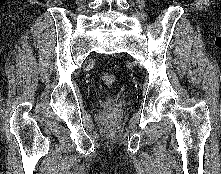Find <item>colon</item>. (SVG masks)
<instances>
[{
  "instance_id": "1",
  "label": "colon",
  "mask_w": 221,
  "mask_h": 174,
  "mask_svg": "<svg viewBox=\"0 0 221 174\" xmlns=\"http://www.w3.org/2000/svg\"><path fill=\"white\" fill-rule=\"evenodd\" d=\"M102 80L106 86L110 87L115 84L116 78L114 74L107 72L102 75Z\"/></svg>"
}]
</instances>
